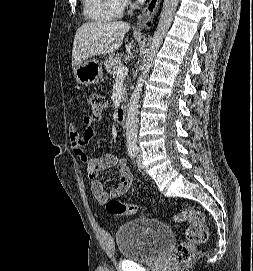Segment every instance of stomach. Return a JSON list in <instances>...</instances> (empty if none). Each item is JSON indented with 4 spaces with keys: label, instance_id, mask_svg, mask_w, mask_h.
I'll use <instances>...</instances> for the list:
<instances>
[{
    "label": "stomach",
    "instance_id": "obj_1",
    "mask_svg": "<svg viewBox=\"0 0 253 271\" xmlns=\"http://www.w3.org/2000/svg\"><path fill=\"white\" fill-rule=\"evenodd\" d=\"M76 81L82 85L97 83L103 76L102 64L98 61H83L74 71Z\"/></svg>",
    "mask_w": 253,
    "mask_h": 271
}]
</instances>
